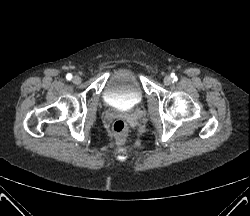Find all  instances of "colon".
I'll list each match as a JSON object with an SVG mask.
<instances>
[{
  "mask_svg": "<svg viewBox=\"0 0 250 216\" xmlns=\"http://www.w3.org/2000/svg\"><path fill=\"white\" fill-rule=\"evenodd\" d=\"M112 131L118 143L122 144L125 142L128 134V126L124 120H115L112 125Z\"/></svg>",
  "mask_w": 250,
  "mask_h": 216,
  "instance_id": "obj_1",
  "label": "colon"
}]
</instances>
